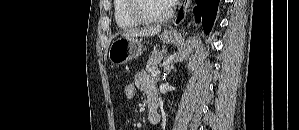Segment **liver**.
I'll list each match as a JSON object with an SVG mask.
<instances>
[{
	"label": "liver",
	"mask_w": 299,
	"mask_h": 130,
	"mask_svg": "<svg viewBox=\"0 0 299 130\" xmlns=\"http://www.w3.org/2000/svg\"><path fill=\"white\" fill-rule=\"evenodd\" d=\"M161 31L160 26H155L151 28H146L144 30H129L123 33L122 36L124 37H149V36H155Z\"/></svg>",
	"instance_id": "liver-1"
}]
</instances>
